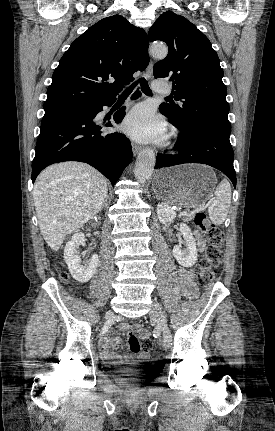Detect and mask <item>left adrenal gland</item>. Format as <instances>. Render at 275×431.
I'll list each match as a JSON object with an SVG mask.
<instances>
[{
    "mask_svg": "<svg viewBox=\"0 0 275 431\" xmlns=\"http://www.w3.org/2000/svg\"><path fill=\"white\" fill-rule=\"evenodd\" d=\"M154 198L158 199L159 197H158V196H156V197H154Z\"/></svg>",
    "mask_w": 275,
    "mask_h": 431,
    "instance_id": "obj_1",
    "label": "left adrenal gland"
}]
</instances>
